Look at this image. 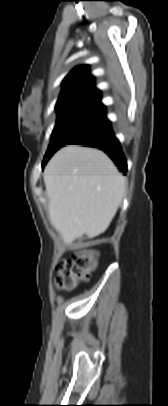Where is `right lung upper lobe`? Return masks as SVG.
Listing matches in <instances>:
<instances>
[{
	"label": "right lung upper lobe",
	"mask_w": 168,
	"mask_h": 406,
	"mask_svg": "<svg viewBox=\"0 0 168 406\" xmlns=\"http://www.w3.org/2000/svg\"><path fill=\"white\" fill-rule=\"evenodd\" d=\"M87 65L73 69L63 81V89L56 103L59 110L77 106H103L100 91L94 87V77Z\"/></svg>",
	"instance_id": "1"
}]
</instances>
